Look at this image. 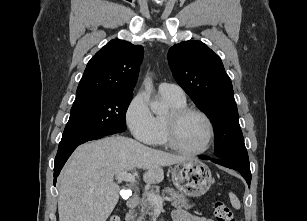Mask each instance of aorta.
Listing matches in <instances>:
<instances>
[{
  "label": "aorta",
  "mask_w": 307,
  "mask_h": 221,
  "mask_svg": "<svg viewBox=\"0 0 307 221\" xmlns=\"http://www.w3.org/2000/svg\"><path fill=\"white\" fill-rule=\"evenodd\" d=\"M144 86L147 92H151L153 84L150 76H147L144 80ZM151 111L155 114H163L167 108L164 104L154 101L150 104Z\"/></svg>",
  "instance_id": "obj_1"
}]
</instances>
